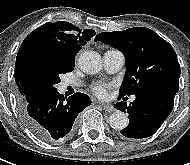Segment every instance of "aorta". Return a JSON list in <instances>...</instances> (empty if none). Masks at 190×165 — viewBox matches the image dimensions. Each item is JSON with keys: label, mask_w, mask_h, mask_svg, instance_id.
<instances>
[{"label": "aorta", "mask_w": 190, "mask_h": 165, "mask_svg": "<svg viewBox=\"0 0 190 165\" xmlns=\"http://www.w3.org/2000/svg\"><path fill=\"white\" fill-rule=\"evenodd\" d=\"M79 66L87 74H96L102 68L101 56L94 51H85L79 56ZM128 117L124 112L115 111L109 117L113 129L123 130L128 125Z\"/></svg>", "instance_id": "1"}]
</instances>
